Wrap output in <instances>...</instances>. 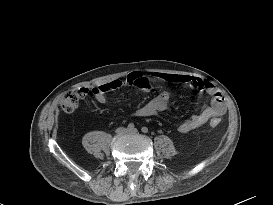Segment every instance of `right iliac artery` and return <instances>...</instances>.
Listing matches in <instances>:
<instances>
[{
    "label": "right iliac artery",
    "mask_w": 273,
    "mask_h": 205,
    "mask_svg": "<svg viewBox=\"0 0 273 205\" xmlns=\"http://www.w3.org/2000/svg\"><path fill=\"white\" fill-rule=\"evenodd\" d=\"M127 128L129 130L134 129V124L133 123H129L128 126H127Z\"/></svg>",
    "instance_id": "82829eb1"
}]
</instances>
